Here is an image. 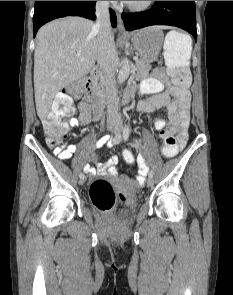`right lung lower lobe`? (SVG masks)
Segmentation results:
<instances>
[{"mask_svg":"<svg viewBox=\"0 0 233 295\" xmlns=\"http://www.w3.org/2000/svg\"><path fill=\"white\" fill-rule=\"evenodd\" d=\"M96 1H35L33 16V36L45 23L64 16H82L94 20ZM110 19L113 27L117 26L115 12L110 9Z\"/></svg>","mask_w":233,"mask_h":295,"instance_id":"1","label":"right lung lower lobe"}]
</instances>
